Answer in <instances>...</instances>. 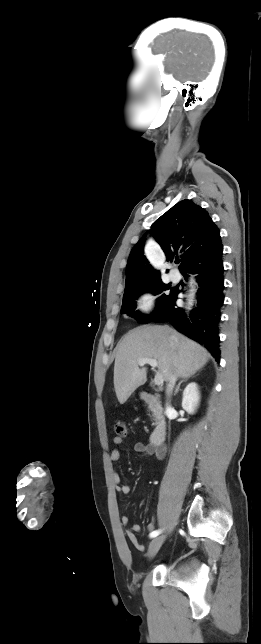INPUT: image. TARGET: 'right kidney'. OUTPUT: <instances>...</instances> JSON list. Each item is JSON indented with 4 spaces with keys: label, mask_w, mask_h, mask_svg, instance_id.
<instances>
[{
    "label": "right kidney",
    "mask_w": 261,
    "mask_h": 644,
    "mask_svg": "<svg viewBox=\"0 0 261 644\" xmlns=\"http://www.w3.org/2000/svg\"><path fill=\"white\" fill-rule=\"evenodd\" d=\"M199 392L196 383H190L183 391L182 407L189 414H193L199 403Z\"/></svg>",
    "instance_id": "ca27d5eb"
}]
</instances>
